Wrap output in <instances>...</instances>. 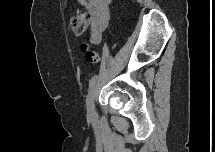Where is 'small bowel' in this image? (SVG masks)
<instances>
[{"label":"small bowel","mask_w":215,"mask_h":152,"mask_svg":"<svg viewBox=\"0 0 215 152\" xmlns=\"http://www.w3.org/2000/svg\"><path fill=\"white\" fill-rule=\"evenodd\" d=\"M79 4L90 15V42L92 44H99L102 40V33L108 26L110 0H79Z\"/></svg>","instance_id":"1"}]
</instances>
